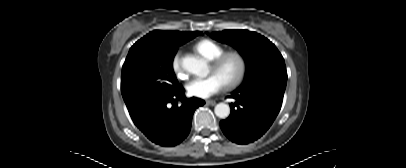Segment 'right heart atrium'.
<instances>
[{"label":"right heart atrium","mask_w":406,"mask_h":168,"mask_svg":"<svg viewBox=\"0 0 406 168\" xmlns=\"http://www.w3.org/2000/svg\"><path fill=\"white\" fill-rule=\"evenodd\" d=\"M171 67L179 79H185L187 74L182 61V52L177 51L172 57Z\"/></svg>","instance_id":"obj_1"}]
</instances>
